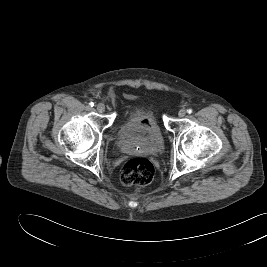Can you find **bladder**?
Here are the masks:
<instances>
[{
    "instance_id": "obj_1",
    "label": "bladder",
    "mask_w": 267,
    "mask_h": 267,
    "mask_svg": "<svg viewBox=\"0 0 267 267\" xmlns=\"http://www.w3.org/2000/svg\"><path fill=\"white\" fill-rule=\"evenodd\" d=\"M153 122V127L146 133H139L131 120L123 121L118 127L116 145L124 154L159 155L164 149V139L159 126Z\"/></svg>"
}]
</instances>
